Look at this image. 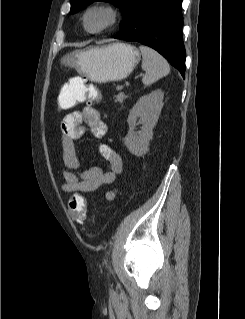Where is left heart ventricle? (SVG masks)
I'll use <instances>...</instances> for the list:
<instances>
[{
    "label": "left heart ventricle",
    "mask_w": 245,
    "mask_h": 319,
    "mask_svg": "<svg viewBox=\"0 0 245 319\" xmlns=\"http://www.w3.org/2000/svg\"><path fill=\"white\" fill-rule=\"evenodd\" d=\"M107 20V16L104 13L96 12L89 16L88 18V26L91 29H96L102 26Z\"/></svg>",
    "instance_id": "left-heart-ventricle-1"
}]
</instances>
